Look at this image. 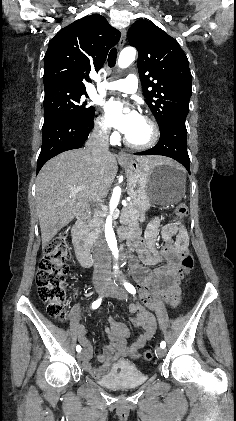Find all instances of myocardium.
I'll return each instance as SVG.
<instances>
[{"label": "myocardium", "mask_w": 236, "mask_h": 421, "mask_svg": "<svg viewBox=\"0 0 236 421\" xmlns=\"http://www.w3.org/2000/svg\"><path fill=\"white\" fill-rule=\"evenodd\" d=\"M150 127L151 136L150 139L145 143H135L128 139L127 136L124 137V142L128 147L137 150H148L153 148L159 141L160 138V130L156 122L148 116L143 115L141 117Z\"/></svg>", "instance_id": "myocardium-1"}]
</instances>
